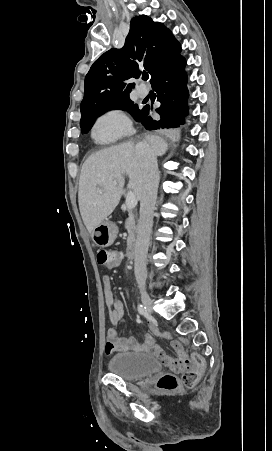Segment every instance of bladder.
Here are the masks:
<instances>
[{
    "label": "bladder",
    "instance_id": "1",
    "mask_svg": "<svg viewBox=\"0 0 272 451\" xmlns=\"http://www.w3.org/2000/svg\"><path fill=\"white\" fill-rule=\"evenodd\" d=\"M161 367L159 359L135 352L116 353L108 361L109 374L121 377L126 382L142 381L157 373Z\"/></svg>",
    "mask_w": 272,
    "mask_h": 451
}]
</instances>
